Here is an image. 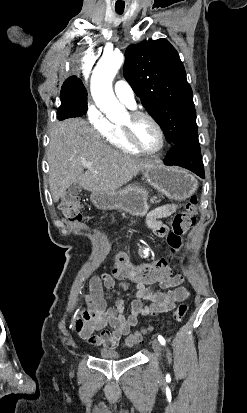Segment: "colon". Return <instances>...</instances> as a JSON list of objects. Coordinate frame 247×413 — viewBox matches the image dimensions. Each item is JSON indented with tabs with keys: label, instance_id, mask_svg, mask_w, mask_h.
<instances>
[{
	"label": "colon",
	"instance_id": "colon-1",
	"mask_svg": "<svg viewBox=\"0 0 247 413\" xmlns=\"http://www.w3.org/2000/svg\"><path fill=\"white\" fill-rule=\"evenodd\" d=\"M196 206L197 197L192 195L185 210L176 214L172 222L174 230L165 235V240L170 247H180L182 245L181 237L183 234H188V227L194 226L196 223ZM60 210L70 222H78L82 219V202L75 196L65 195L60 202ZM105 253V259L114 267L113 275L116 278L132 275L141 285H146L154 279L166 276L169 273V261L166 259H159L152 265L145 263L146 271L143 274H138L135 271V265L137 263L129 262L128 257L122 250H118L114 245H108L105 248ZM189 309V304L184 303L178 305L171 314L170 322H180L187 315ZM148 330L149 328L136 330L123 342L122 346L129 347L139 344L143 341V337Z\"/></svg>",
	"mask_w": 247,
	"mask_h": 413
}]
</instances>
